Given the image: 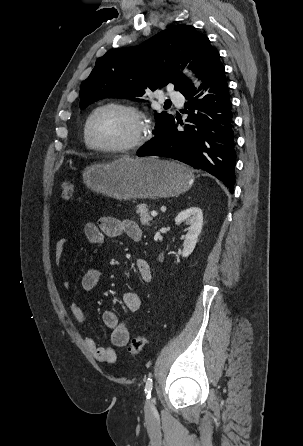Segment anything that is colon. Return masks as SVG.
<instances>
[{
  "label": "colon",
  "mask_w": 303,
  "mask_h": 446,
  "mask_svg": "<svg viewBox=\"0 0 303 446\" xmlns=\"http://www.w3.org/2000/svg\"><path fill=\"white\" fill-rule=\"evenodd\" d=\"M74 193V186L69 180H64L61 184V197L64 200H70ZM147 343V337L144 334L135 336L127 346V352L130 356H137Z\"/></svg>",
  "instance_id": "colon-1"
}]
</instances>
